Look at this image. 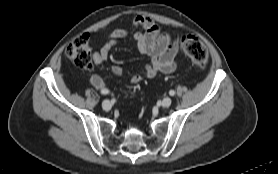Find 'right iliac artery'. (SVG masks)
<instances>
[{"instance_id":"right-iliac-artery-1","label":"right iliac artery","mask_w":278,"mask_h":174,"mask_svg":"<svg viewBox=\"0 0 278 174\" xmlns=\"http://www.w3.org/2000/svg\"><path fill=\"white\" fill-rule=\"evenodd\" d=\"M108 93H109V91H108V90H106V89L101 90V94H103V95H106V94H108Z\"/></svg>"}]
</instances>
